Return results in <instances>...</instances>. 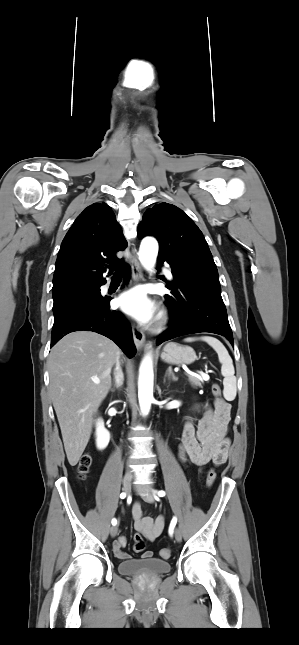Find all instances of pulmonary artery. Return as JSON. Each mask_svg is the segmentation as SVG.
<instances>
[{
  "label": "pulmonary artery",
  "mask_w": 299,
  "mask_h": 645,
  "mask_svg": "<svg viewBox=\"0 0 299 645\" xmlns=\"http://www.w3.org/2000/svg\"><path fill=\"white\" fill-rule=\"evenodd\" d=\"M164 272H165V274H166L169 278H172V272H171V270H170L169 268H165V269H164ZM105 288H106V287H105Z\"/></svg>",
  "instance_id": "1"
}]
</instances>
